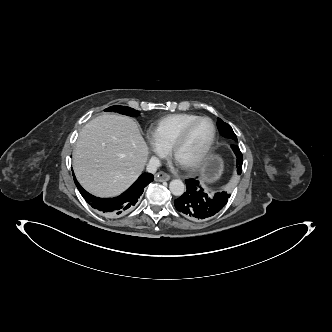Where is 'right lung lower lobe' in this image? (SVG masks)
I'll use <instances>...</instances> for the list:
<instances>
[{
  "instance_id": "right-lung-lower-lobe-1",
  "label": "right lung lower lobe",
  "mask_w": 332,
  "mask_h": 332,
  "mask_svg": "<svg viewBox=\"0 0 332 332\" xmlns=\"http://www.w3.org/2000/svg\"><path fill=\"white\" fill-rule=\"evenodd\" d=\"M73 176L74 182L86 202L91 205V207L107 216H118L132 210L142 195L144 188L152 182L154 178L152 174L144 173L120 196L114 198H98L85 191L76 180L75 175Z\"/></svg>"
}]
</instances>
